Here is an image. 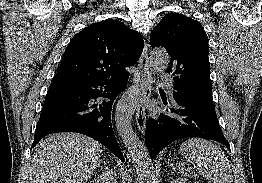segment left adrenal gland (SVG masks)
Listing matches in <instances>:
<instances>
[{
    "instance_id": "obj_1",
    "label": "left adrenal gland",
    "mask_w": 262,
    "mask_h": 183,
    "mask_svg": "<svg viewBox=\"0 0 262 183\" xmlns=\"http://www.w3.org/2000/svg\"><path fill=\"white\" fill-rule=\"evenodd\" d=\"M168 167H169V168H172V167H173V164H169Z\"/></svg>"
}]
</instances>
